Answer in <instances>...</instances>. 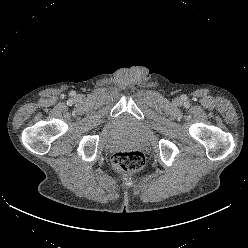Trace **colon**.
Returning a JSON list of instances; mask_svg holds the SVG:
<instances>
[{
    "label": "colon",
    "mask_w": 248,
    "mask_h": 248,
    "mask_svg": "<svg viewBox=\"0 0 248 248\" xmlns=\"http://www.w3.org/2000/svg\"><path fill=\"white\" fill-rule=\"evenodd\" d=\"M112 165L119 172H136L144 167L145 157L137 150H120L113 154Z\"/></svg>",
    "instance_id": "obj_1"
}]
</instances>
